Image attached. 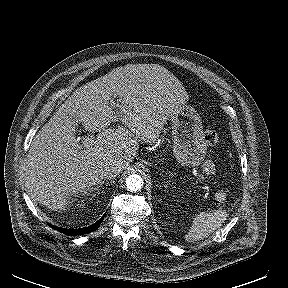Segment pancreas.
Instances as JSON below:
<instances>
[{
  "label": "pancreas",
  "mask_w": 288,
  "mask_h": 288,
  "mask_svg": "<svg viewBox=\"0 0 288 288\" xmlns=\"http://www.w3.org/2000/svg\"><path fill=\"white\" fill-rule=\"evenodd\" d=\"M204 169H207V172H211L214 169V164L211 160H207L204 162Z\"/></svg>",
  "instance_id": "obj_1"
}]
</instances>
